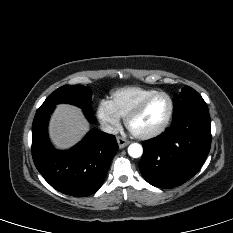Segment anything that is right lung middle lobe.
I'll return each instance as SVG.
<instances>
[{"mask_svg":"<svg viewBox=\"0 0 233 233\" xmlns=\"http://www.w3.org/2000/svg\"><path fill=\"white\" fill-rule=\"evenodd\" d=\"M91 89L83 85H65L55 90L40 106V108L54 107L59 103H68L92 112Z\"/></svg>","mask_w":233,"mask_h":233,"instance_id":"1","label":"right lung middle lobe"}]
</instances>
